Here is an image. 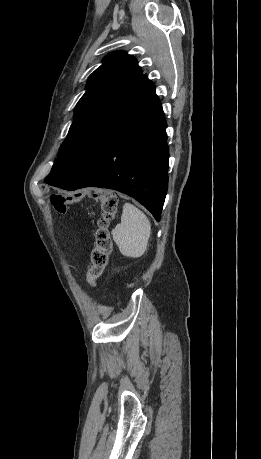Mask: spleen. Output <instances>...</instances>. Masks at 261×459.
Wrapping results in <instances>:
<instances>
[{
  "mask_svg": "<svg viewBox=\"0 0 261 459\" xmlns=\"http://www.w3.org/2000/svg\"><path fill=\"white\" fill-rule=\"evenodd\" d=\"M151 235V223L136 206L126 202L123 205L121 223L112 230L114 242L122 255L139 258L147 250Z\"/></svg>",
  "mask_w": 261,
  "mask_h": 459,
  "instance_id": "3e777b00",
  "label": "spleen"
}]
</instances>
